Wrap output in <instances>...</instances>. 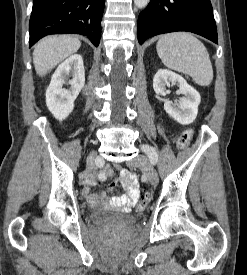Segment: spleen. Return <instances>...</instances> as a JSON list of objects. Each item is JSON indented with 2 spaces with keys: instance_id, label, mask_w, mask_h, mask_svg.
Here are the masks:
<instances>
[{
  "instance_id": "1",
  "label": "spleen",
  "mask_w": 247,
  "mask_h": 275,
  "mask_svg": "<svg viewBox=\"0 0 247 275\" xmlns=\"http://www.w3.org/2000/svg\"><path fill=\"white\" fill-rule=\"evenodd\" d=\"M163 64L175 71L190 75L200 86L213 80V68L204 44L187 32L163 35L156 45Z\"/></svg>"
}]
</instances>
